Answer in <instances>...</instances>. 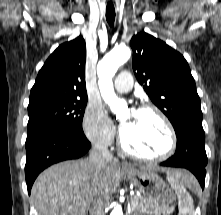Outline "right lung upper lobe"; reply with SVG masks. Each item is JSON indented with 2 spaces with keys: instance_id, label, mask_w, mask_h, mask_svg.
<instances>
[{
  "instance_id": "cb5924a9",
  "label": "right lung upper lobe",
  "mask_w": 221,
  "mask_h": 215,
  "mask_svg": "<svg viewBox=\"0 0 221 215\" xmlns=\"http://www.w3.org/2000/svg\"><path fill=\"white\" fill-rule=\"evenodd\" d=\"M86 44L82 36L61 44L40 69L31 89L29 105L68 99H87Z\"/></svg>"
}]
</instances>
